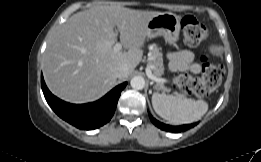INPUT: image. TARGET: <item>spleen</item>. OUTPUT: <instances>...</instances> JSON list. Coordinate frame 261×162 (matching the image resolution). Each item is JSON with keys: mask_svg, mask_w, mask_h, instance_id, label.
Returning a JSON list of instances; mask_svg holds the SVG:
<instances>
[{"mask_svg": "<svg viewBox=\"0 0 261 162\" xmlns=\"http://www.w3.org/2000/svg\"><path fill=\"white\" fill-rule=\"evenodd\" d=\"M152 105L155 112L173 124H186L201 119L208 111L203 100L184 98L179 94L166 95L154 93Z\"/></svg>", "mask_w": 261, "mask_h": 162, "instance_id": "obj_1", "label": "spleen"}]
</instances>
